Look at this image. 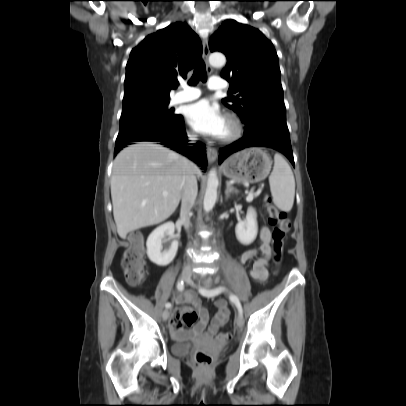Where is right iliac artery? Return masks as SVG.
<instances>
[{"label":"right iliac artery","mask_w":406,"mask_h":406,"mask_svg":"<svg viewBox=\"0 0 406 406\" xmlns=\"http://www.w3.org/2000/svg\"><path fill=\"white\" fill-rule=\"evenodd\" d=\"M177 289H178L179 291H183V289H184V282H183V281H179V282L177 283ZM165 307H166V308H170V307H171V303H170V302L166 303Z\"/></svg>","instance_id":"right-iliac-artery-1"}]
</instances>
